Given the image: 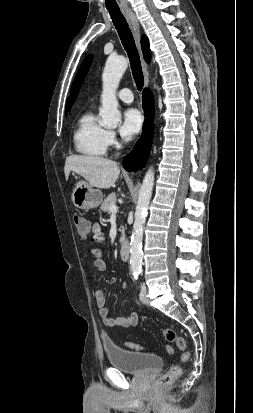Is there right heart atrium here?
<instances>
[{
	"label": "right heart atrium",
	"mask_w": 253,
	"mask_h": 413,
	"mask_svg": "<svg viewBox=\"0 0 253 413\" xmlns=\"http://www.w3.org/2000/svg\"><path fill=\"white\" fill-rule=\"evenodd\" d=\"M107 142H108V145H110V146L116 144V136H115L114 132L107 131Z\"/></svg>",
	"instance_id": "1"
}]
</instances>
